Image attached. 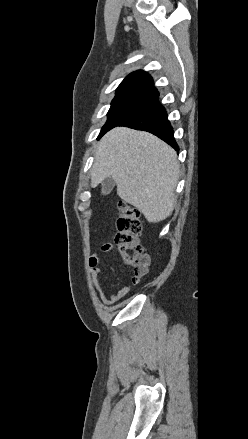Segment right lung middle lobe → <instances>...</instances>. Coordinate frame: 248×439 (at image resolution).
<instances>
[{"mask_svg":"<svg viewBox=\"0 0 248 439\" xmlns=\"http://www.w3.org/2000/svg\"><path fill=\"white\" fill-rule=\"evenodd\" d=\"M151 100L150 97L140 95L122 94L116 95L111 103V107L108 111V120L103 126L99 137L108 128L120 122L139 108L148 104Z\"/></svg>","mask_w":248,"mask_h":439,"instance_id":"obj_1","label":"right lung middle lobe"}]
</instances>
